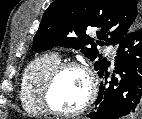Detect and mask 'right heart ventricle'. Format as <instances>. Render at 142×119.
I'll use <instances>...</instances> for the list:
<instances>
[{"label": "right heart ventricle", "mask_w": 142, "mask_h": 119, "mask_svg": "<svg viewBox=\"0 0 142 119\" xmlns=\"http://www.w3.org/2000/svg\"><path fill=\"white\" fill-rule=\"evenodd\" d=\"M61 62L56 53H46L35 58L26 68L20 86V100L24 110L34 115H44L41 102L43 82L48 74Z\"/></svg>", "instance_id": "obj_1"}]
</instances>
